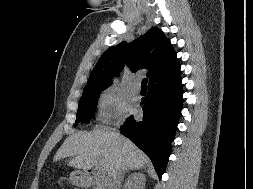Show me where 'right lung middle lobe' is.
Here are the masks:
<instances>
[{"mask_svg": "<svg viewBox=\"0 0 253 189\" xmlns=\"http://www.w3.org/2000/svg\"><path fill=\"white\" fill-rule=\"evenodd\" d=\"M106 88L107 87L83 91L79 102L76 123H79L81 121L89 122L93 118L96 111L99 95Z\"/></svg>", "mask_w": 253, "mask_h": 189, "instance_id": "right-lung-middle-lobe-1", "label": "right lung middle lobe"}]
</instances>
